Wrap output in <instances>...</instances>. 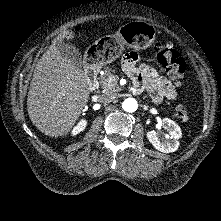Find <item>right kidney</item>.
<instances>
[{
  "instance_id": "right-kidney-1",
  "label": "right kidney",
  "mask_w": 221,
  "mask_h": 221,
  "mask_svg": "<svg viewBox=\"0 0 221 221\" xmlns=\"http://www.w3.org/2000/svg\"><path fill=\"white\" fill-rule=\"evenodd\" d=\"M87 121L85 119H81L79 123L73 128L72 135H77L81 131H83L86 128Z\"/></svg>"
}]
</instances>
